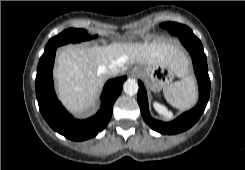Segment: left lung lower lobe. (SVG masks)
<instances>
[{
  "mask_svg": "<svg viewBox=\"0 0 245 170\" xmlns=\"http://www.w3.org/2000/svg\"><path fill=\"white\" fill-rule=\"evenodd\" d=\"M179 38L192 57L199 86V101L197 105L174 121L162 122L155 120L149 113L145 87L141 81H138L139 91L137 99L142 117L152 129L162 134H177L193 126L205 110L210 95V78L208 75L207 60L201 41L189 28L182 31Z\"/></svg>",
  "mask_w": 245,
  "mask_h": 170,
  "instance_id": "1",
  "label": "left lung lower lobe"
}]
</instances>
